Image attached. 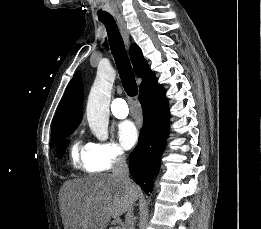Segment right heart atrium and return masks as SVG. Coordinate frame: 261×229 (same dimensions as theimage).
I'll use <instances>...</instances> for the list:
<instances>
[{
  "label": "right heart atrium",
  "instance_id": "d8ad5b80",
  "mask_svg": "<svg viewBox=\"0 0 261 229\" xmlns=\"http://www.w3.org/2000/svg\"><path fill=\"white\" fill-rule=\"evenodd\" d=\"M89 169L93 172H105L122 166L126 154L114 140H101L90 143Z\"/></svg>",
  "mask_w": 261,
  "mask_h": 229
}]
</instances>
